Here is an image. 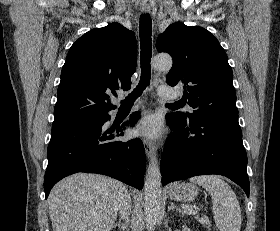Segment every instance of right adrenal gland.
<instances>
[{
	"label": "right adrenal gland",
	"instance_id": "obj_1",
	"mask_svg": "<svg viewBox=\"0 0 280 231\" xmlns=\"http://www.w3.org/2000/svg\"><path fill=\"white\" fill-rule=\"evenodd\" d=\"M126 225H127V221H118V223H114L113 227H118V229H120V231H124V229H126Z\"/></svg>",
	"mask_w": 280,
	"mask_h": 231
}]
</instances>
